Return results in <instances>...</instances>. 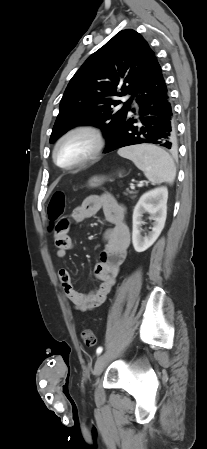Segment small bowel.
<instances>
[{
    "mask_svg": "<svg viewBox=\"0 0 207 449\" xmlns=\"http://www.w3.org/2000/svg\"><path fill=\"white\" fill-rule=\"evenodd\" d=\"M99 211L103 212L105 218L111 224V228L105 233L101 261L94 268V273L100 279L98 288L83 293L74 287L70 273L66 269H60L58 272L66 297L76 310L82 312L94 310L106 300L127 256L130 233L126 224L125 209L110 195L89 196L68 217L58 223V229L54 235L57 248L56 256L59 259H64L68 251L74 246L73 239L69 235L71 225L81 223Z\"/></svg>",
    "mask_w": 207,
    "mask_h": 449,
    "instance_id": "1",
    "label": "small bowel"
}]
</instances>
